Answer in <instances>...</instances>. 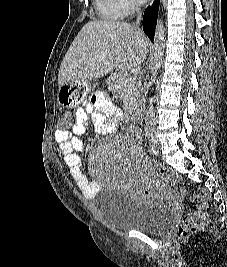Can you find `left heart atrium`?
Segmentation results:
<instances>
[{
  "mask_svg": "<svg viewBox=\"0 0 227 267\" xmlns=\"http://www.w3.org/2000/svg\"><path fill=\"white\" fill-rule=\"evenodd\" d=\"M139 1H141V2H145V1H147V0H139Z\"/></svg>",
  "mask_w": 227,
  "mask_h": 267,
  "instance_id": "1",
  "label": "left heart atrium"
}]
</instances>
